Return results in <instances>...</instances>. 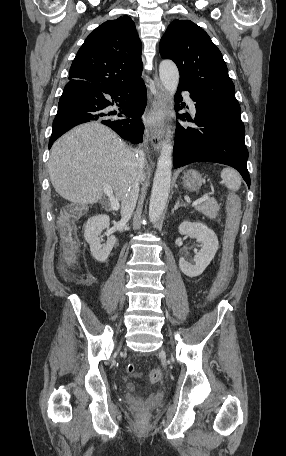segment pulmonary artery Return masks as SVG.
Segmentation results:
<instances>
[{
    "label": "pulmonary artery",
    "mask_w": 286,
    "mask_h": 456,
    "mask_svg": "<svg viewBox=\"0 0 286 456\" xmlns=\"http://www.w3.org/2000/svg\"><path fill=\"white\" fill-rule=\"evenodd\" d=\"M183 95L185 96L188 104H189V107H190V110L193 114H195L196 110H195V106H194V103L193 101L191 100V98L189 97V94L186 93V92H183Z\"/></svg>",
    "instance_id": "1"
}]
</instances>
